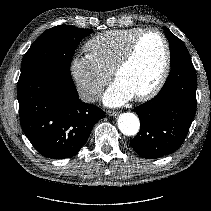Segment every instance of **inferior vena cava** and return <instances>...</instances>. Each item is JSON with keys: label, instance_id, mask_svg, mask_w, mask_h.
Returning <instances> with one entry per match:
<instances>
[{"label": "inferior vena cava", "instance_id": "inferior-vena-cava-1", "mask_svg": "<svg viewBox=\"0 0 211 211\" xmlns=\"http://www.w3.org/2000/svg\"><path fill=\"white\" fill-rule=\"evenodd\" d=\"M100 89L88 88L79 91V97L83 102H95L101 96Z\"/></svg>", "mask_w": 211, "mask_h": 211}]
</instances>
